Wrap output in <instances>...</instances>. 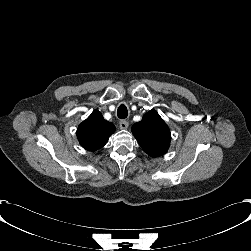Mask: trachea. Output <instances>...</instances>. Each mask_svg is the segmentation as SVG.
Segmentation results:
<instances>
[{"label": "trachea", "mask_w": 251, "mask_h": 251, "mask_svg": "<svg viewBox=\"0 0 251 251\" xmlns=\"http://www.w3.org/2000/svg\"><path fill=\"white\" fill-rule=\"evenodd\" d=\"M127 115H128V110H127V107L125 105H120L118 107V110H117V116L118 118L120 119H125L127 118Z\"/></svg>", "instance_id": "1"}]
</instances>
